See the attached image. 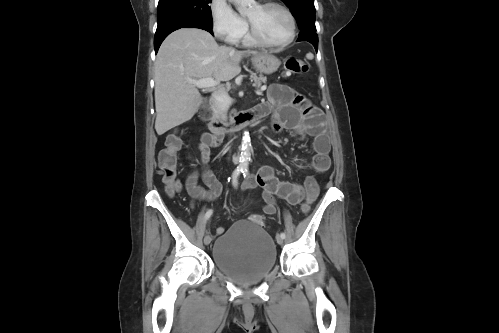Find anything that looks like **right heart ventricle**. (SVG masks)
I'll return each mask as SVG.
<instances>
[{"instance_id": "right-heart-ventricle-1", "label": "right heart ventricle", "mask_w": 499, "mask_h": 333, "mask_svg": "<svg viewBox=\"0 0 499 333\" xmlns=\"http://www.w3.org/2000/svg\"><path fill=\"white\" fill-rule=\"evenodd\" d=\"M243 45L248 46V47H254L257 46L258 44L250 37L248 32H244L242 37L239 40Z\"/></svg>"}]
</instances>
